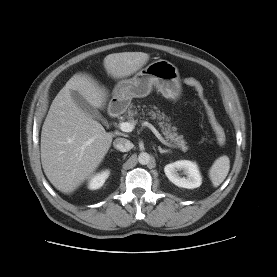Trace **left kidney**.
Instances as JSON below:
<instances>
[{
    "instance_id": "5707ae66",
    "label": "left kidney",
    "mask_w": 277,
    "mask_h": 277,
    "mask_svg": "<svg viewBox=\"0 0 277 277\" xmlns=\"http://www.w3.org/2000/svg\"><path fill=\"white\" fill-rule=\"evenodd\" d=\"M183 171L186 177H181L178 171ZM167 178L176 186L194 189L202 184V177L195 162L178 160L164 167Z\"/></svg>"
}]
</instances>
